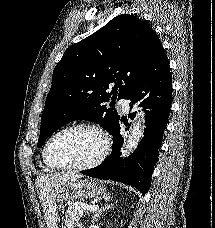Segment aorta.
I'll use <instances>...</instances> for the list:
<instances>
[{
	"instance_id": "aorta-1",
	"label": "aorta",
	"mask_w": 215,
	"mask_h": 228,
	"mask_svg": "<svg viewBox=\"0 0 215 228\" xmlns=\"http://www.w3.org/2000/svg\"><path fill=\"white\" fill-rule=\"evenodd\" d=\"M145 116L144 114H137L132 124L131 132L127 138V142L121 152L120 158H127L131 152L137 148L139 142H141L144 136Z\"/></svg>"
}]
</instances>
